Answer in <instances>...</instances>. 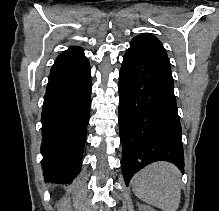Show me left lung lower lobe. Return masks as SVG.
I'll list each match as a JSON object with an SVG mask.
<instances>
[{
	"instance_id": "left-lung-lower-lobe-1",
	"label": "left lung lower lobe",
	"mask_w": 219,
	"mask_h": 211,
	"mask_svg": "<svg viewBox=\"0 0 219 211\" xmlns=\"http://www.w3.org/2000/svg\"><path fill=\"white\" fill-rule=\"evenodd\" d=\"M119 129L126 184L155 161L184 172L182 129L170 70L127 50L119 74Z\"/></svg>"
}]
</instances>
